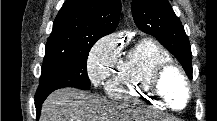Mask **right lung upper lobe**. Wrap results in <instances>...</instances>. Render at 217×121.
I'll return each instance as SVG.
<instances>
[{"instance_id":"1","label":"right lung upper lobe","mask_w":217,"mask_h":121,"mask_svg":"<svg viewBox=\"0 0 217 121\" xmlns=\"http://www.w3.org/2000/svg\"><path fill=\"white\" fill-rule=\"evenodd\" d=\"M120 0H66L55 18L49 40L92 41L117 27Z\"/></svg>"}]
</instances>
